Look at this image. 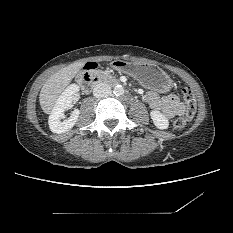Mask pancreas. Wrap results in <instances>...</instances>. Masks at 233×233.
<instances>
[{
  "label": "pancreas",
  "instance_id": "obj_1",
  "mask_svg": "<svg viewBox=\"0 0 233 233\" xmlns=\"http://www.w3.org/2000/svg\"><path fill=\"white\" fill-rule=\"evenodd\" d=\"M98 76H99L101 81L108 82V81L112 80V76L108 72H105V71L99 72Z\"/></svg>",
  "mask_w": 233,
  "mask_h": 233
}]
</instances>
